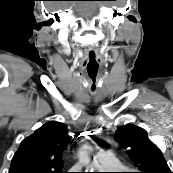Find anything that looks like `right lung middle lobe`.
Wrapping results in <instances>:
<instances>
[{
  "label": "right lung middle lobe",
  "instance_id": "right-lung-middle-lobe-1",
  "mask_svg": "<svg viewBox=\"0 0 173 173\" xmlns=\"http://www.w3.org/2000/svg\"><path fill=\"white\" fill-rule=\"evenodd\" d=\"M18 173H32L31 171H18Z\"/></svg>",
  "mask_w": 173,
  "mask_h": 173
}]
</instances>
